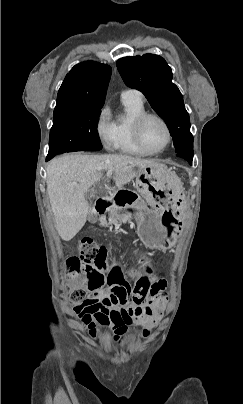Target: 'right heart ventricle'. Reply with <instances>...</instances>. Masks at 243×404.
<instances>
[{"label": "right heart ventricle", "mask_w": 243, "mask_h": 404, "mask_svg": "<svg viewBox=\"0 0 243 404\" xmlns=\"http://www.w3.org/2000/svg\"><path fill=\"white\" fill-rule=\"evenodd\" d=\"M124 91L121 93V104L124 115L114 120L117 151L128 156H150L152 153L143 149L136 142L132 133V122L145 111L144 102L140 97L141 93L136 89Z\"/></svg>", "instance_id": "e07e8e85"}]
</instances>
